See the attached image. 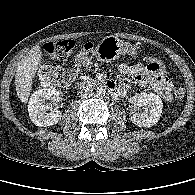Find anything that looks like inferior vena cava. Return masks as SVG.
<instances>
[{"instance_id":"1","label":"inferior vena cava","mask_w":195,"mask_h":195,"mask_svg":"<svg viewBox=\"0 0 195 195\" xmlns=\"http://www.w3.org/2000/svg\"><path fill=\"white\" fill-rule=\"evenodd\" d=\"M93 90L90 89V88H83L80 92V96L83 98V99H87V98H90L91 96H93Z\"/></svg>"}]
</instances>
